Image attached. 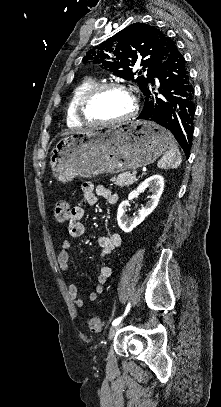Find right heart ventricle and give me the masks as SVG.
Here are the masks:
<instances>
[{"label": "right heart ventricle", "instance_id": "right-heart-ventricle-1", "mask_svg": "<svg viewBox=\"0 0 221 407\" xmlns=\"http://www.w3.org/2000/svg\"><path fill=\"white\" fill-rule=\"evenodd\" d=\"M96 85L93 79H84L73 87L66 103V121L70 126H81L83 121L80 119L77 104L80 98L92 87Z\"/></svg>", "mask_w": 221, "mask_h": 407}]
</instances>
